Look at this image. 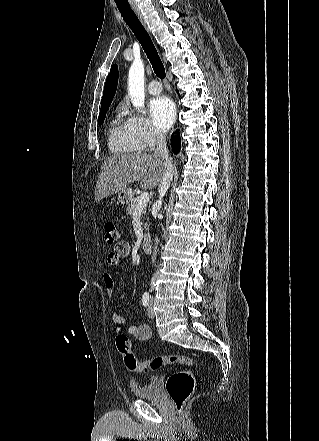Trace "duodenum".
<instances>
[{
    "instance_id": "410a0bca",
    "label": "duodenum",
    "mask_w": 319,
    "mask_h": 441,
    "mask_svg": "<svg viewBox=\"0 0 319 441\" xmlns=\"http://www.w3.org/2000/svg\"><path fill=\"white\" fill-rule=\"evenodd\" d=\"M152 240L149 234H145L142 238V249L145 253L151 252Z\"/></svg>"
}]
</instances>
